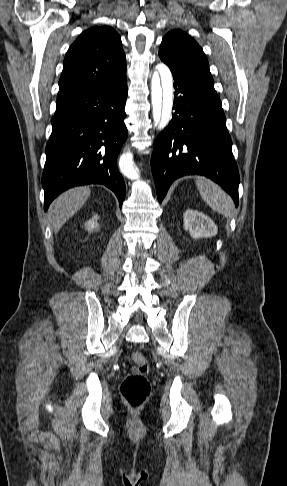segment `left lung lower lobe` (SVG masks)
Instances as JSON below:
<instances>
[{
  "label": "left lung lower lobe",
  "instance_id": "1",
  "mask_svg": "<svg viewBox=\"0 0 287 486\" xmlns=\"http://www.w3.org/2000/svg\"><path fill=\"white\" fill-rule=\"evenodd\" d=\"M170 70L175 112L158 135L151 157L158 200H163L175 179L198 174L218 183L238 206L239 173L220 98L186 75Z\"/></svg>",
  "mask_w": 287,
  "mask_h": 486
}]
</instances>
